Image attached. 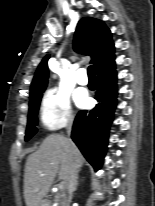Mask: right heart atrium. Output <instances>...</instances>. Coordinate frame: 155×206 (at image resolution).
<instances>
[{"label":"right heart atrium","instance_id":"right-heart-atrium-1","mask_svg":"<svg viewBox=\"0 0 155 206\" xmlns=\"http://www.w3.org/2000/svg\"><path fill=\"white\" fill-rule=\"evenodd\" d=\"M40 120L46 130L70 125L74 120L69 95L59 88L49 89L40 106Z\"/></svg>","mask_w":155,"mask_h":206}]
</instances>
